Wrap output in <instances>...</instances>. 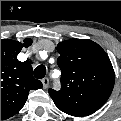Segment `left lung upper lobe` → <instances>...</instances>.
<instances>
[{
	"label": "left lung upper lobe",
	"mask_w": 121,
	"mask_h": 121,
	"mask_svg": "<svg viewBox=\"0 0 121 121\" xmlns=\"http://www.w3.org/2000/svg\"><path fill=\"white\" fill-rule=\"evenodd\" d=\"M61 90L49 89L55 105L72 116H87L98 110L114 87V71L108 55L88 39L62 41L57 46Z\"/></svg>",
	"instance_id": "obj_1"
}]
</instances>
